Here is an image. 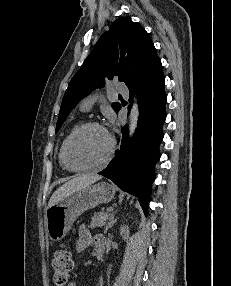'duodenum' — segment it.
Listing matches in <instances>:
<instances>
[{"mask_svg":"<svg viewBox=\"0 0 231 286\" xmlns=\"http://www.w3.org/2000/svg\"><path fill=\"white\" fill-rule=\"evenodd\" d=\"M104 247H105V241L104 238H101L98 243H97V247H96V255L99 259L103 258L104 255Z\"/></svg>","mask_w":231,"mask_h":286,"instance_id":"obj_1","label":"duodenum"}]
</instances>
